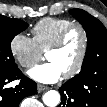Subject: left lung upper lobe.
<instances>
[{"label": "left lung upper lobe", "instance_id": "obj_1", "mask_svg": "<svg viewBox=\"0 0 107 107\" xmlns=\"http://www.w3.org/2000/svg\"><path fill=\"white\" fill-rule=\"evenodd\" d=\"M70 13L82 24L87 33V51L82 64V69L78 75L70 81L85 85L84 81L99 74L107 77V30L103 24L95 17L84 10L71 9ZM86 91V88H81ZM80 98L68 99L69 107H79Z\"/></svg>", "mask_w": 107, "mask_h": 107}]
</instances>
